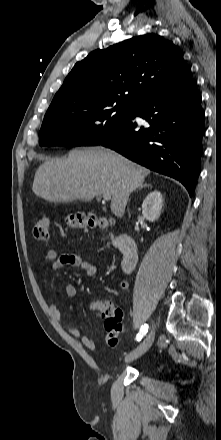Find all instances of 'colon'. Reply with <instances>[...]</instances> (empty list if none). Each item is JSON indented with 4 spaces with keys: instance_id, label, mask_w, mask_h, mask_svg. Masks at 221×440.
<instances>
[{
    "instance_id": "1",
    "label": "colon",
    "mask_w": 221,
    "mask_h": 440,
    "mask_svg": "<svg viewBox=\"0 0 221 440\" xmlns=\"http://www.w3.org/2000/svg\"><path fill=\"white\" fill-rule=\"evenodd\" d=\"M111 219L98 216L93 213L75 212L66 217V223L72 228H106L111 224ZM34 238L39 241H47L50 236V222L47 218H40L33 228ZM90 310L101 314L104 318L106 339L110 347H116L119 335L122 331L123 313L109 301H93Z\"/></svg>"
}]
</instances>
